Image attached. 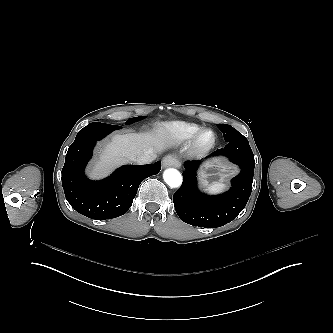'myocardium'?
<instances>
[{
    "instance_id": "f54148a6",
    "label": "myocardium",
    "mask_w": 333,
    "mask_h": 333,
    "mask_svg": "<svg viewBox=\"0 0 333 333\" xmlns=\"http://www.w3.org/2000/svg\"><path fill=\"white\" fill-rule=\"evenodd\" d=\"M209 133L211 139L208 142H203V136ZM216 145V134L212 129L205 128L198 130L191 139L189 148L193 155H205L211 151Z\"/></svg>"
}]
</instances>
